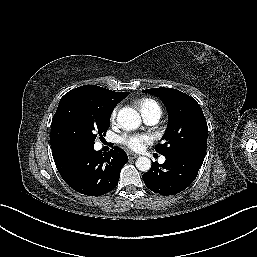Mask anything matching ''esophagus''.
Here are the masks:
<instances>
[{"label": "esophagus", "instance_id": "34e87169", "mask_svg": "<svg viewBox=\"0 0 257 257\" xmlns=\"http://www.w3.org/2000/svg\"><path fill=\"white\" fill-rule=\"evenodd\" d=\"M127 155H128V158H129V159H136V158L138 157L137 154H134V153H132V152H129Z\"/></svg>", "mask_w": 257, "mask_h": 257}]
</instances>
